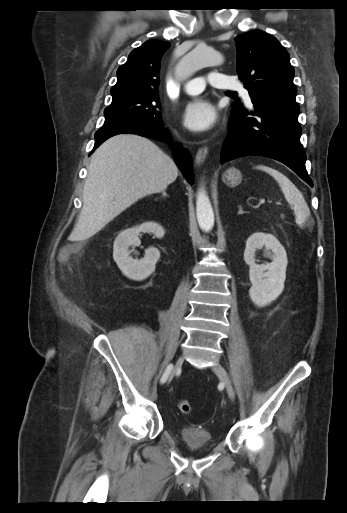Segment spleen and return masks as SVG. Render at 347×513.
Returning <instances> with one entry per match:
<instances>
[{"label": "spleen", "instance_id": "1", "mask_svg": "<svg viewBox=\"0 0 347 513\" xmlns=\"http://www.w3.org/2000/svg\"><path fill=\"white\" fill-rule=\"evenodd\" d=\"M271 175L279 184L285 199L294 210L297 224H304L310 216V209L298 188L279 170L267 165H257L255 167Z\"/></svg>", "mask_w": 347, "mask_h": 513}]
</instances>
